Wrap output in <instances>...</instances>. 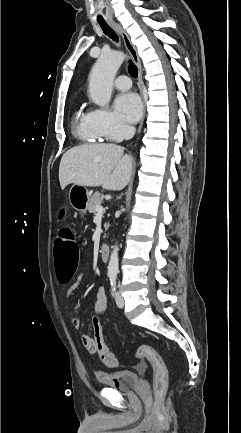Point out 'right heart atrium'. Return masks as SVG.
Returning <instances> with one entry per match:
<instances>
[{"label": "right heart atrium", "mask_w": 241, "mask_h": 433, "mask_svg": "<svg viewBox=\"0 0 241 433\" xmlns=\"http://www.w3.org/2000/svg\"><path fill=\"white\" fill-rule=\"evenodd\" d=\"M93 122L96 129L106 138L116 140L129 131L112 112L98 108L92 111Z\"/></svg>", "instance_id": "1"}]
</instances>
